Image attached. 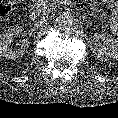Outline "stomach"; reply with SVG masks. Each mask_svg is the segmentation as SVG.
Listing matches in <instances>:
<instances>
[{"mask_svg": "<svg viewBox=\"0 0 118 118\" xmlns=\"http://www.w3.org/2000/svg\"><path fill=\"white\" fill-rule=\"evenodd\" d=\"M101 1H102V3H104V4H111V3L114 2V0H101ZM116 6L118 7V1L116 2Z\"/></svg>", "mask_w": 118, "mask_h": 118, "instance_id": "1", "label": "stomach"}]
</instances>
